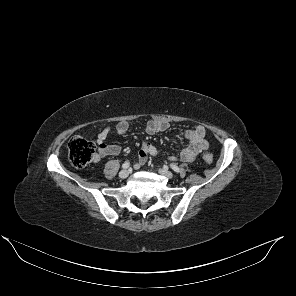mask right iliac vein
Returning <instances> with one entry per match:
<instances>
[{
    "mask_svg": "<svg viewBox=\"0 0 296 296\" xmlns=\"http://www.w3.org/2000/svg\"><path fill=\"white\" fill-rule=\"evenodd\" d=\"M128 175H129V172H128V170H122V171H120V173H119V177L120 178H122V179H125V178H127L128 177Z\"/></svg>",
    "mask_w": 296,
    "mask_h": 296,
    "instance_id": "63e3f726",
    "label": "right iliac vein"
}]
</instances>
